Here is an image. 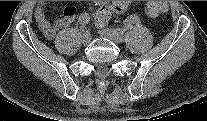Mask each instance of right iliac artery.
<instances>
[{
    "mask_svg": "<svg viewBox=\"0 0 207 121\" xmlns=\"http://www.w3.org/2000/svg\"><path fill=\"white\" fill-rule=\"evenodd\" d=\"M90 21V17L88 14L84 13V14H81L80 17H79V24L81 26V29L84 31L86 29V26L87 24L89 23Z\"/></svg>",
    "mask_w": 207,
    "mask_h": 121,
    "instance_id": "82829eb1",
    "label": "right iliac artery"
}]
</instances>
